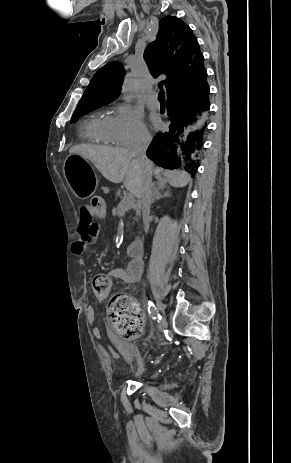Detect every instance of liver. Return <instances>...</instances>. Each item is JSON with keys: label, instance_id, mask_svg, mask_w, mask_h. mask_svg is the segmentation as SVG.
<instances>
[{"label": "liver", "instance_id": "1", "mask_svg": "<svg viewBox=\"0 0 291 463\" xmlns=\"http://www.w3.org/2000/svg\"><path fill=\"white\" fill-rule=\"evenodd\" d=\"M69 152L90 160L107 180L113 183L123 182L132 195L141 197L144 168L128 149L83 144L71 147ZM150 166L153 173L151 162ZM155 174L159 185H164L166 180L159 175V171ZM168 178L173 187H184L191 181L190 175L184 171H173Z\"/></svg>", "mask_w": 291, "mask_h": 463}]
</instances>
